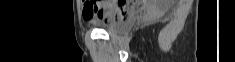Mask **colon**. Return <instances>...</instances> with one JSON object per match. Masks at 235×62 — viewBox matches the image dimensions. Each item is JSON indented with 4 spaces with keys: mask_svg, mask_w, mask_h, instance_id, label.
I'll use <instances>...</instances> for the list:
<instances>
[{
    "mask_svg": "<svg viewBox=\"0 0 235 62\" xmlns=\"http://www.w3.org/2000/svg\"><path fill=\"white\" fill-rule=\"evenodd\" d=\"M136 6V5H135ZM134 6V8H135ZM133 8V9H134ZM133 9H129L127 7H125L124 5H122L121 3L116 4V11H115V17L117 19H123L125 18L129 12H131Z\"/></svg>",
    "mask_w": 235,
    "mask_h": 62,
    "instance_id": "1",
    "label": "colon"
}]
</instances>
